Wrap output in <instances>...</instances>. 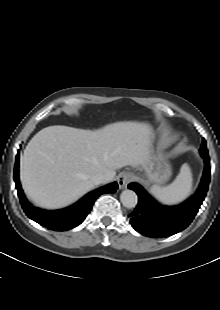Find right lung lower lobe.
<instances>
[{
    "mask_svg": "<svg viewBox=\"0 0 220 310\" xmlns=\"http://www.w3.org/2000/svg\"><path fill=\"white\" fill-rule=\"evenodd\" d=\"M18 168L19 151L16 156L14 180L22 208L30 219L34 220L41 226L54 231H67L81 224L90 213L95 200L101 194L113 193L118 188V184L114 182L88 193L81 200L70 207L61 210L47 211L31 206L27 201L20 185Z\"/></svg>",
    "mask_w": 220,
    "mask_h": 310,
    "instance_id": "right-lung-lower-lobe-1",
    "label": "right lung lower lobe"
}]
</instances>
